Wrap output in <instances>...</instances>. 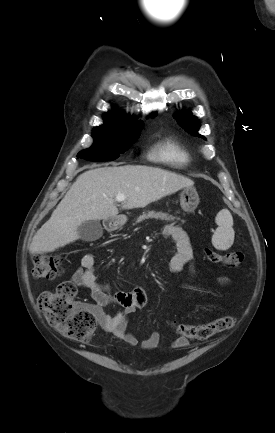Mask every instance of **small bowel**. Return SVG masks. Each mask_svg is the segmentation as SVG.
<instances>
[{
  "label": "small bowel",
  "mask_w": 275,
  "mask_h": 433,
  "mask_svg": "<svg viewBox=\"0 0 275 433\" xmlns=\"http://www.w3.org/2000/svg\"><path fill=\"white\" fill-rule=\"evenodd\" d=\"M163 234L166 238L173 240L175 244V253L169 260V267L172 272H178L184 264L193 260V250L186 232L173 224H167L164 227ZM95 257L91 253H86L81 258V266L74 272L72 282L82 289L89 292L93 304L85 306L95 315L101 328L122 340L129 345L138 343L134 334L127 331L129 317L137 310L146 308L149 300L145 290L140 286H135L129 291L111 292L109 284L97 281L95 274ZM194 271V270H193ZM219 282L222 285L228 284V278L220 277ZM112 305H119L122 310L109 315L105 313L104 308ZM188 340L178 337L170 343V348L179 350L187 347ZM142 349L150 351L160 346V333L153 331L147 338L140 343Z\"/></svg>",
  "instance_id": "c3829d8e"
}]
</instances>
